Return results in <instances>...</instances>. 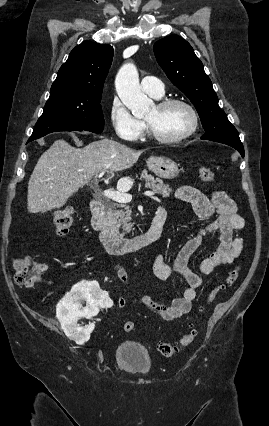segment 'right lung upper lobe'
Segmentation results:
<instances>
[{
  "instance_id": "cb5924a9",
  "label": "right lung upper lobe",
  "mask_w": 269,
  "mask_h": 426,
  "mask_svg": "<svg viewBox=\"0 0 269 426\" xmlns=\"http://www.w3.org/2000/svg\"><path fill=\"white\" fill-rule=\"evenodd\" d=\"M113 59V48L85 41L73 48L58 71L51 93L102 95L105 78Z\"/></svg>"
}]
</instances>
